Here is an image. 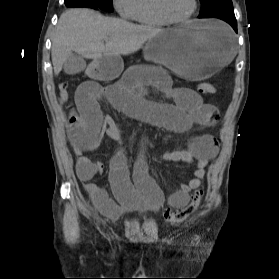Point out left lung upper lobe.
<instances>
[{
    "mask_svg": "<svg viewBox=\"0 0 279 279\" xmlns=\"http://www.w3.org/2000/svg\"><path fill=\"white\" fill-rule=\"evenodd\" d=\"M201 11L198 18H210L220 14L234 13L232 0H200Z\"/></svg>",
    "mask_w": 279,
    "mask_h": 279,
    "instance_id": "obj_1",
    "label": "left lung upper lobe"
}]
</instances>
